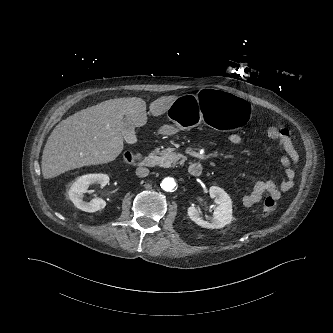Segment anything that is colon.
Here are the masks:
<instances>
[{
	"instance_id": "obj_1",
	"label": "colon",
	"mask_w": 333,
	"mask_h": 333,
	"mask_svg": "<svg viewBox=\"0 0 333 333\" xmlns=\"http://www.w3.org/2000/svg\"><path fill=\"white\" fill-rule=\"evenodd\" d=\"M267 136L269 139L278 140L281 136V129L271 126L267 129ZM139 156L135 153L127 152L124 155V162L133 164L138 160ZM276 210V200L273 197H267L262 205V213L269 215Z\"/></svg>"
}]
</instances>
